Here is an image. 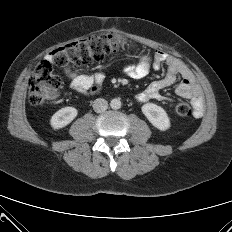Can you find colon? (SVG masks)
Masks as SVG:
<instances>
[{
    "mask_svg": "<svg viewBox=\"0 0 232 232\" xmlns=\"http://www.w3.org/2000/svg\"><path fill=\"white\" fill-rule=\"evenodd\" d=\"M126 39L112 34L91 36L54 50L49 59L41 61L28 78L29 101L39 105L55 96L61 87V79L53 73V67L83 68L103 62L112 53L128 50ZM174 113L180 117L191 114L186 103H177Z\"/></svg>",
    "mask_w": 232,
    "mask_h": 232,
    "instance_id": "obj_1",
    "label": "colon"
}]
</instances>
